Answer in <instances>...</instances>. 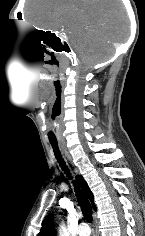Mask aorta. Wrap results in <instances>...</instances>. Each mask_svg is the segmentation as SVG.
Wrapping results in <instances>:
<instances>
[{"label":"aorta","mask_w":145,"mask_h":236,"mask_svg":"<svg viewBox=\"0 0 145 236\" xmlns=\"http://www.w3.org/2000/svg\"><path fill=\"white\" fill-rule=\"evenodd\" d=\"M60 236H68V233L64 227H61Z\"/></svg>","instance_id":"762f6f07"}]
</instances>
